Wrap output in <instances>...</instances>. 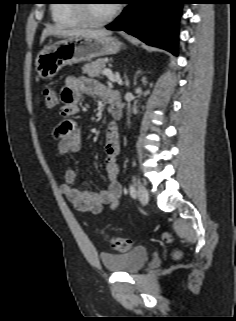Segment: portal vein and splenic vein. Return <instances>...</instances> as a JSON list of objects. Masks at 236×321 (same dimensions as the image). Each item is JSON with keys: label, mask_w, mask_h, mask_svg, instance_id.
<instances>
[{"label": "portal vein and splenic vein", "mask_w": 236, "mask_h": 321, "mask_svg": "<svg viewBox=\"0 0 236 321\" xmlns=\"http://www.w3.org/2000/svg\"><path fill=\"white\" fill-rule=\"evenodd\" d=\"M103 74L112 82L118 81L117 75L113 74V72L110 69H105L103 71Z\"/></svg>", "instance_id": "1"}]
</instances>
